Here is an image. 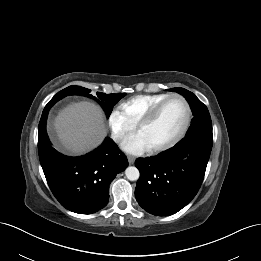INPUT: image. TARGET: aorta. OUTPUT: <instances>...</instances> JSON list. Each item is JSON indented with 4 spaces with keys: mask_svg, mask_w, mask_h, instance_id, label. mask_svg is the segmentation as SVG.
Returning <instances> with one entry per match:
<instances>
[{
    "mask_svg": "<svg viewBox=\"0 0 261 261\" xmlns=\"http://www.w3.org/2000/svg\"><path fill=\"white\" fill-rule=\"evenodd\" d=\"M125 175H126L128 180L136 181V180L139 179L140 173H139V170L136 167L130 166V167L126 168Z\"/></svg>",
    "mask_w": 261,
    "mask_h": 261,
    "instance_id": "1",
    "label": "aorta"
}]
</instances>
